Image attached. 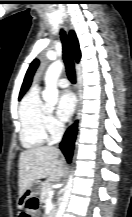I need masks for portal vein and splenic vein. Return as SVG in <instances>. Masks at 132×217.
<instances>
[{"instance_id":"1","label":"portal vein and splenic vein","mask_w":132,"mask_h":217,"mask_svg":"<svg viewBox=\"0 0 132 217\" xmlns=\"http://www.w3.org/2000/svg\"><path fill=\"white\" fill-rule=\"evenodd\" d=\"M48 195H49V198H51L54 195L53 190H50L49 193H48Z\"/></svg>"}]
</instances>
